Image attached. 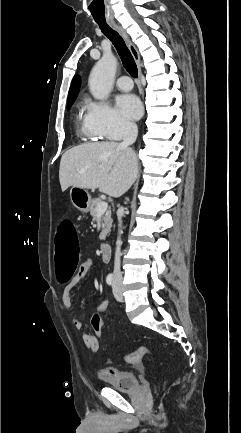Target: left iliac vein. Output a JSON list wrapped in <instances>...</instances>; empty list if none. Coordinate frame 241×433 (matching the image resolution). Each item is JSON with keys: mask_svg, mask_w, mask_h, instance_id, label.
<instances>
[{"mask_svg": "<svg viewBox=\"0 0 241 433\" xmlns=\"http://www.w3.org/2000/svg\"><path fill=\"white\" fill-rule=\"evenodd\" d=\"M113 294L114 297L117 301H122L123 296H122V288H121V284L118 281H114L113 283Z\"/></svg>", "mask_w": 241, "mask_h": 433, "instance_id": "left-iliac-vein-1", "label": "left iliac vein"}]
</instances>
